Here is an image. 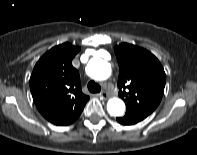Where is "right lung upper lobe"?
Returning a JSON list of instances; mask_svg holds the SVG:
<instances>
[{
	"label": "right lung upper lobe",
	"mask_w": 197,
	"mask_h": 155,
	"mask_svg": "<svg viewBox=\"0 0 197 155\" xmlns=\"http://www.w3.org/2000/svg\"><path fill=\"white\" fill-rule=\"evenodd\" d=\"M79 51L69 43L53 47L36 63L30 78L36 107L55 125L73 123L89 99L82 93L79 73L72 66Z\"/></svg>",
	"instance_id": "cb5924a9"
}]
</instances>
